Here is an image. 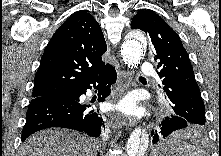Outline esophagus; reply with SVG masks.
<instances>
[{
  "instance_id": "1",
  "label": "esophagus",
  "mask_w": 221,
  "mask_h": 156,
  "mask_svg": "<svg viewBox=\"0 0 221 156\" xmlns=\"http://www.w3.org/2000/svg\"><path fill=\"white\" fill-rule=\"evenodd\" d=\"M118 81L120 86V93H125L127 90H129L131 85L130 72L123 68L118 70ZM126 123L127 122L123 117L117 116L112 122V126L115 128H122L124 125H126Z\"/></svg>"
}]
</instances>
